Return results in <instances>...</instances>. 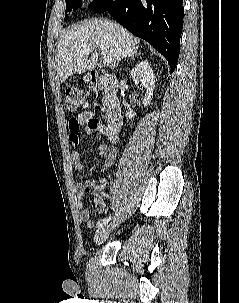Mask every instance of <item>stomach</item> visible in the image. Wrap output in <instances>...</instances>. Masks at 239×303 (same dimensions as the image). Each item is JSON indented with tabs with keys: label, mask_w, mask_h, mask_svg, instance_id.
<instances>
[{
	"label": "stomach",
	"mask_w": 239,
	"mask_h": 303,
	"mask_svg": "<svg viewBox=\"0 0 239 303\" xmlns=\"http://www.w3.org/2000/svg\"><path fill=\"white\" fill-rule=\"evenodd\" d=\"M84 80H85V81H88V80L86 79V77L84 78Z\"/></svg>",
	"instance_id": "1"
}]
</instances>
